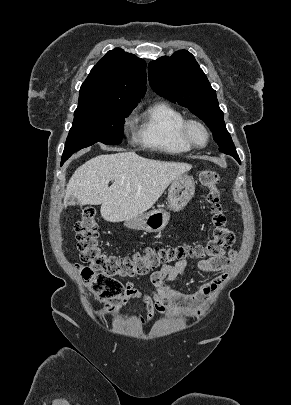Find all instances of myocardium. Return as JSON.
<instances>
[{"mask_svg":"<svg viewBox=\"0 0 291 405\" xmlns=\"http://www.w3.org/2000/svg\"><path fill=\"white\" fill-rule=\"evenodd\" d=\"M194 128H197L201 130L204 134L205 140L203 143H198L194 140L192 136V130ZM179 134L182 140L189 145L191 148L194 149H202L207 146L210 140V132L207 128V126L201 122L200 120L194 119V118H189L185 119L183 123L180 126L179 129Z\"/></svg>","mask_w":291,"mask_h":405,"instance_id":"myocardium-1","label":"myocardium"}]
</instances>
